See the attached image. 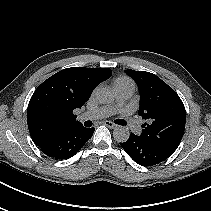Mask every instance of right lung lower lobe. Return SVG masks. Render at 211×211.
<instances>
[{
  "instance_id": "1",
  "label": "right lung lower lobe",
  "mask_w": 211,
  "mask_h": 211,
  "mask_svg": "<svg viewBox=\"0 0 211 211\" xmlns=\"http://www.w3.org/2000/svg\"><path fill=\"white\" fill-rule=\"evenodd\" d=\"M95 128L83 125L60 131L39 144L41 151L50 158L63 160L75 155L92 137Z\"/></svg>"
}]
</instances>
